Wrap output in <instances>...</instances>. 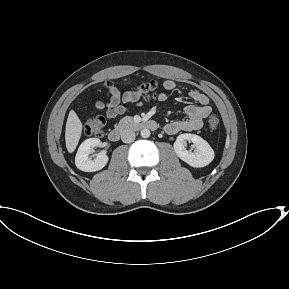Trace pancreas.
<instances>
[{"mask_svg": "<svg viewBox=\"0 0 289 289\" xmlns=\"http://www.w3.org/2000/svg\"><path fill=\"white\" fill-rule=\"evenodd\" d=\"M126 121L130 122V121H132V118L130 116H126L120 121V123L122 124V123H124Z\"/></svg>", "mask_w": 289, "mask_h": 289, "instance_id": "1", "label": "pancreas"}]
</instances>
